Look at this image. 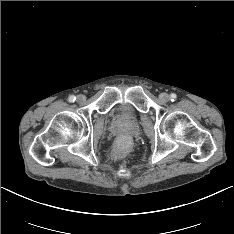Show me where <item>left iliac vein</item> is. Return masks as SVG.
Instances as JSON below:
<instances>
[{"label":"left iliac vein","instance_id":"1","mask_svg":"<svg viewBox=\"0 0 234 234\" xmlns=\"http://www.w3.org/2000/svg\"><path fill=\"white\" fill-rule=\"evenodd\" d=\"M159 99L162 101V102H167L169 101V95L167 93H161L159 95Z\"/></svg>","mask_w":234,"mask_h":234}]
</instances>
